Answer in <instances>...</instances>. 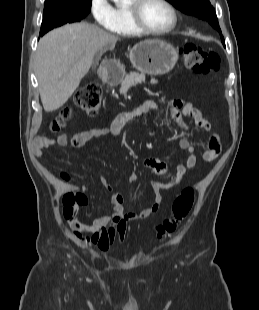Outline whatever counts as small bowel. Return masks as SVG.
Returning <instances> with one entry per match:
<instances>
[{
  "label": "small bowel",
  "instance_id": "c3829d8e",
  "mask_svg": "<svg viewBox=\"0 0 259 310\" xmlns=\"http://www.w3.org/2000/svg\"><path fill=\"white\" fill-rule=\"evenodd\" d=\"M170 111V116L175 124L183 131L188 130V125L185 121L187 117L194 118L196 124L206 130H210V124L202 117V114L191 103H185L180 99H170L167 101ZM156 108V102L152 99H144L142 103L131 112H122L114 119L109 128H93L82 133L76 134L73 137L58 136L56 138L37 137L33 141L32 151L35 156L44 157L45 150L51 146L58 145L64 148L82 149L85 148L95 138L108 134L117 135L123 128L127 120L133 116L146 114ZM179 146L188 152L187 160L184 164H178L175 174H170L166 163L159 159L148 158L144 161V166L154 173L168 178L166 182L153 181L152 190L155 196L154 202L142 211L127 212L124 205V197L120 193L112 194L110 201L112 204V212L101 215L94 219L91 223H82L74 221L70 227L76 236L87 234L84 241L87 244L95 245L101 252H106L115 242H122L127 223L130 221L144 220L158 212L161 202V191L175 186L180 183L182 178L191 170L194 169L197 158L194 154V148L190 141L182 138L179 141ZM221 152L220 135L214 133L210 136L207 144V149L203 153V158L206 161H212L218 157ZM101 184L106 189H111V184L105 178H101ZM82 191L88 193L89 188L86 185L81 186Z\"/></svg>",
  "mask_w": 259,
  "mask_h": 310
}]
</instances>
